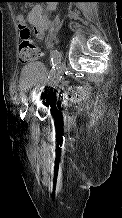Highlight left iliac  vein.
<instances>
[{
	"instance_id": "1",
	"label": "left iliac vein",
	"mask_w": 122,
	"mask_h": 218,
	"mask_svg": "<svg viewBox=\"0 0 122 218\" xmlns=\"http://www.w3.org/2000/svg\"><path fill=\"white\" fill-rule=\"evenodd\" d=\"M65 69H66V64L64 61H62L59 66L57 67V70L55 71L54 73V76L49 84L50 87L52 88H55L58 86L60 80H61V77L63 75V73L65 72ZM34 111V108L33 106H30L28 109H27V116H31L32 113Z\"/></svg>"
}]
</instances>
